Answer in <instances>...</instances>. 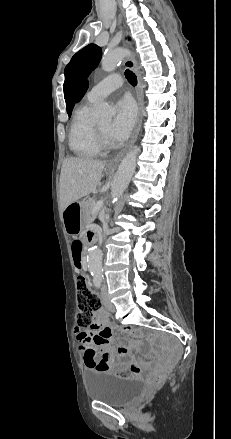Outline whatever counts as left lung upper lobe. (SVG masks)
I'll list each match as a JSON object with an SVG mask.
<instances>
[{
	"mask_svg": "<svg viewBox=\"0 0 231 439\" xmlns=\"http://www.w3.org/2000/svg\"><path fill=\"white\" fill-rule=\"evenodd\" d=\"M102 56L101 48L89 44L78 51L65 68L64 98L69 117L71 116L77 93L88 77L98 66Z\"/></svg>",
	"mask_w": 231,
	"mask_h": 439,
	"instance_id": "left-lung-upper-lobe-1",
	"label": "left lung upper lobe"
}]
</instances>
